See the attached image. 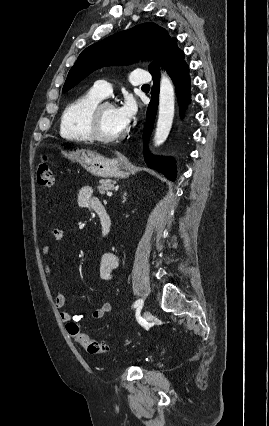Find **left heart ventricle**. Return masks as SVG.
Returning a JSON list of instances; mask_svg holds the SVG:
<instances>
[{
    "label": "left heart ventricle",
    "mask_w": 269,
    "mask_h": 426,
    "mask_svg": "<svg viewBox=\"0 0 269 426\" xmlns=\"http://www.w3.org/2000/svg\"><path fill=\"white\" fill-rule=\"evenodd\" d=\"M100 129L107 137H115L124 132L125 128L119 123L115 107L103 109L100 116Z\"/></svg>",
    "instance_id": "1"
}]
</instances>
